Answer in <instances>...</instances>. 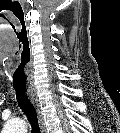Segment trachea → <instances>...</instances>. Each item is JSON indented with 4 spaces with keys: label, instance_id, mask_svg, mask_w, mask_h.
Masks as SVG:
<instances>
[{
    "label": "trachea",
    "instance_id": "trachea-1",
    "mask_svg": "<svg viewBox=\"0 0 120 133\" xmlns=\"http://www.w3.org/2000/svg\"><path fill=\"white\" fill-rule=\"evenodd\" d=\"M15 91L18 104L24 114L27 116V119L29 120V123L31 125V133H41L36 109L27 97L26 89L15 88Z\"/></svg>",
    "mask_w": 120,
    "mask_h": 133
}]
</instances>
